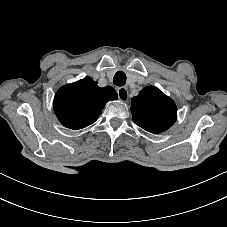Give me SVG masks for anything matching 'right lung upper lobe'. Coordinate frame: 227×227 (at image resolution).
<instances>
[{
	"instance_id": "1",
	"label": "right lung upper lobe",
	"mask_w": 227,
	"mask_h": 227,
	"mask_svg": "<svg viewBox=\"0 0 227 227\" xmlns=\"http://www.w3.org/2000/svg\"><path fill=\"white\" fill-rule=\"evenodd\" d=\"M117 92L85 77L61 87L54 97V112L59 121L70 129H81L94 123L105 104L117 99Z\"/></svg>"
}]
</instances>
